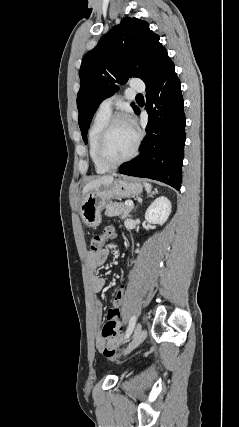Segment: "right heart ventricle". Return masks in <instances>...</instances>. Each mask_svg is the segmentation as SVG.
<instances>
[{
    "mask_svg": "<svg viewBox=\"0 0 239 427\" xmlns=\"http://www.w3.org/2000/svg\"><path fill=\"white\" fill-rule=\"evenodd\" d=\"M110 116V112L99 109L94 115L88 129L87 139L89 156L98 173H105L109 170V168L99 162L96 149L99 135Z\"/></svg>",
    "mask_w": 239,
    "mask_h": 427,
    "instance_id": "e07e8e85",
    "label": "right heart ventricle"
}]
</instances>
